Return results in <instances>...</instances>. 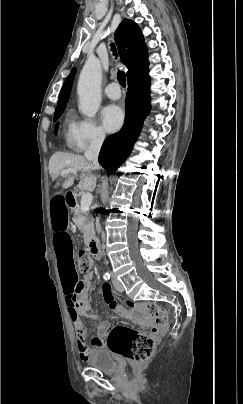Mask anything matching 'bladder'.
<instances>
[{
    "mask_svg": "<svg viewBox=\"0 0 243 404\" xmlns=\"http://www.w3.org/2000/svg\"><path fill=\"white\" fill-rule=\"evenodd\" d=\"M88 364L104 373H114L118 370L119 364L109 349L100 348L94 350L89 358Z\"/></svg>",
    "mask_w": 243,
    "mask_h": 404,
    "instance_id": "1",
    "label": "bladder"
}]
</instances>
